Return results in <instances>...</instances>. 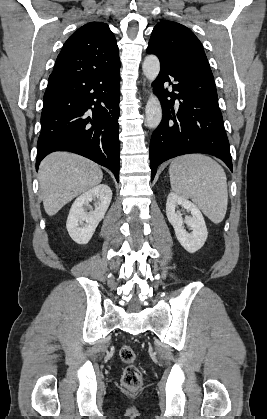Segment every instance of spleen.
<instances>
[{
	"label": "spleen",
	"mask_w": 267,
	"mask_h": 419,
	"mask_svg": "<svg viewBox=\"0 0 267 419\" xmlns=\"http://www.w3.org/2000/svg\"><path fill=\"white\" fill-rule=\"evenodd\" d=\"M172 190L191 199L213 223L223 221L228 205L224 169L211 157L187 154L175 158L169 169Z\"/></svg>",
	"instance_id": "1"
}]
</instances>
